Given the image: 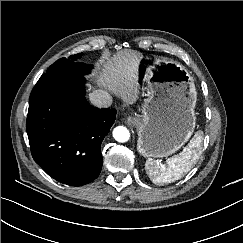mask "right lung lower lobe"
I'll use <instances>...</instances> for the list:
<instances>
[{"mask_svg":"<svg viewBox=\"0 0 243 243\" xmlns=\"http://www.w3.org/2000/svg\"><path fill=\"white\" fill-rule=\"evenodd\" d=\"M83 75H42L29 100L26 130L31 154L55 180L81 186L102 169L101 143L116 110L85 99Z\"/></svg>","mask_w":243,"mask_h":243,"instance_id":"right-lung-lower-lobe-1","label":"right lung lower lobe"}]
</instances>
